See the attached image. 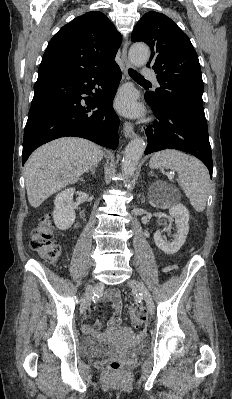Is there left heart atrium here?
<instances>
[{
	"instance_id": "39dd6f15",
	"label": "left heart atrium",
	"mask_w": 232,
	"mask_h": 399,
	"mask_svg": "<svg viewBox=\"0 0 232 399\" xmlns=\"http://www.w3.org/2000/svg\"><path fill=\"white\" fill-rule=\"evenodd\" d=\"M116 109L125 116L134 117L141 113V108L135 101L132 91H123L119 94L116 101Z\"/></svg>"
}]
</instances>
